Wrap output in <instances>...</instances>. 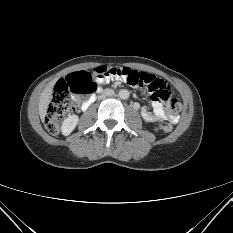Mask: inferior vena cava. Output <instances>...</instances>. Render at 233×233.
<instances>
[{
	"instance_id": "602c4592",
	"label": "inferior vena cava",
	"mask_w": 233,
	"mask_h": 233,
	"mask_svg": "<svg viewBox=\"0 0 233 233\" xmlns=\"http://www.w3.org/2000/svg\"><path fill=\"white\" fill-rule=\"evenodd\" d=\"M116 94V91L113 88H106L103 93L102 96L103 97H113Z\"/></svg>"
}]
</instances>
